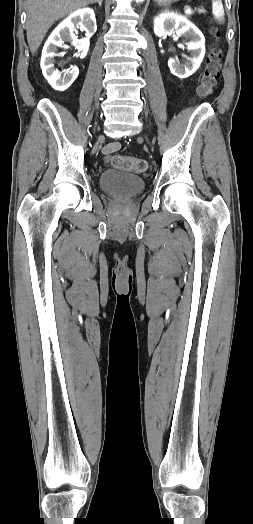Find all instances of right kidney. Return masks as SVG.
Returning a JSON list of instances; mask_svg holds the SVG:
<instances>
[{"label": "right kidney", "instance_id": "obj_1", "mask_svg": "<svg viewBox=\"0 0 253 524\" xmlns=\"http://www.w3.org/2000/svg\"><path fill=\"white\" fill-rule=\"evenodd\" d=\"M76 27H81L86 31V38L78 40L74 34ZM97 25L95 13L91 8L80 9L70 14L61 22L47 39L41 57V68L44 77L49 84L58 91H65L75 81L79 74L77 67H72L64 75H61L54 68V57L58 47L69 42L74 45L79 52L80 58H85L89 46L90 37L96 32Z\"/></svg>", "mask_w": 253, "mask_h": 524}]
</instances>
